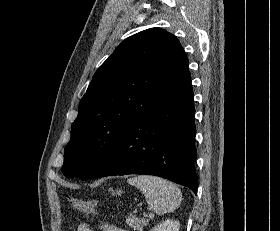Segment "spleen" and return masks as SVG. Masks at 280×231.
<instances>
[{"label": "spleen", "instance_id": "spleen-1", "mask_svg": "<svg viewBox=\"0 0 280 231\" xmlns=\"http://www.w3.org/2000/svg\"><path fill=\"white\" fill-rule=\"evenodd\" d=\"M128 183L136 185L140 191H143L147 203L158 215L174 211L182 201V193L176 183H171L162 177L136 175V177H130Z\"/></svg>", "mask_w": 280, "mask_h": 231}]
</instances>
